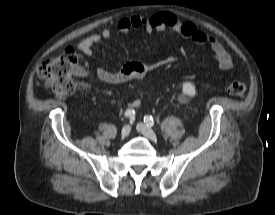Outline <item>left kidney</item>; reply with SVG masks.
I'll use <instances>...</instances> for the list:
<instances>
[{
    "mask_svg": "<svg viewBox=\"0 0 275 215\" xmlns=\"http://www.w3.org/2000/svg\"><path fill=\"white\" fill-rule=\"evenodd\" d=\"M183 93L189 96H195L196 95V88L194 84L190 82H184L183 83Z\"/></svg>",
    "mask_w": 275,
    "mask_h": 215,
    "instance_id": "left-kidney-1",
    "label": "left kidney"
}]
</instances>
